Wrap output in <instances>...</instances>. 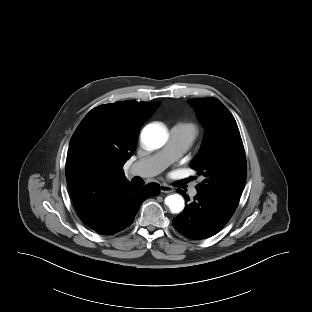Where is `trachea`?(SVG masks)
Instances as JSON below:
<instances>
[{
	"mask_svg": "<svg viewBox=\"0 0 312 312\" xmlns=\"http://www.w3.org/2000/svg\"><path fill=\"white\" fill-rule=\"evenodd\" d=\"M132 182L138 183V182H137V177H134V178L132 179Z\"/></svg>",
	"mask_w": 312,
	"mask_h": 312,
	"instance_id": "3493384b",
	"label": "trachea"
}]
</instances>
